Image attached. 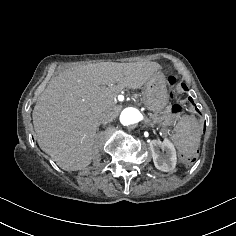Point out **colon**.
<instances>
[{
	"label": "colon",
	"mask_w": 236,
	"mask_h": 236,
	"mask_svg": "<svg viewBox=\"0 0 236 236\" xmlns=\"http://www.w3.org/2000/svg\"><path fill=\"white\" fill-rule=\"evenodd\" d=\"M175 82L176 80L173 76L168 77V86L170 89L173 88V86L175 85ZM182 110H183V107L181 104L173 105L172 110H171V118L168 121L169 126L173 125L174 119L177 118L181 114Z\"/></svg>",
	"instance_id": "colon-1"
}]
</instances>
